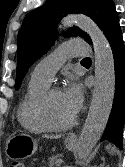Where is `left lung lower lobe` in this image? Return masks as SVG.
Here are the masks:
<instances>
[{"instance_id": "obj_1", "label": "left lung lower lobe", "mask_w": 125, "mask_h": 167, "mask_svg": "<svg viewBox=\"0 0 125 167\" xmlns=\"http://www.w3.org/2000/svg\"><path fill=\"white\" fill-rule=\"evenodd\" d=\"M105 36L110 43L114 57L115 96L101 141H110L122 149V129L125 117V51L119 19L114 21Z\"/></svg>"}]
</instances>
